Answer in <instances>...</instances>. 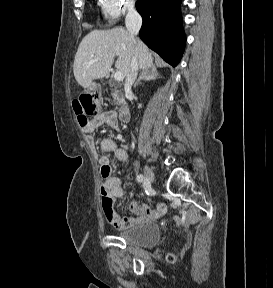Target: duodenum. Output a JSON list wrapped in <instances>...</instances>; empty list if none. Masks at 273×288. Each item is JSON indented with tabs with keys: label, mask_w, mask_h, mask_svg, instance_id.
<instances>
[{
	"label": "duodenum",
	"mask_w": 273,
	"mask_h": 288,
	"mask_svg": "<svg viewBox=\"0 0 273 288\" xmlns=\"http://www.w3.org/2000/svg\"><path fill=\"white\" fill-rule=\"evenodd\" d=\"M118 118L121 122L123 123H127L130 120V112L127 109V107L122 106L119 110H118Z\"/></svg>",
	"instance_id": "410a0bca"
}]
</instances>
